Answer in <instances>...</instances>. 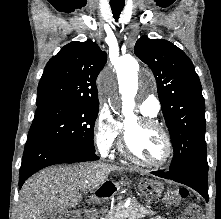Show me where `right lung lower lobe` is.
Instances as JSON below:
<instances>
[{
    "label": "right lung lower lobe",
    "instance_id": "98d812e1",
    "mask_svg": "<svg viewBox=\"0 0 221 219\" xmlns=\"http://www.w3.org/2000/svg\"><path fill=\"white\" fill-rule=\"evenodd\" d=\"M95 152H88L44 136L29 137L20 168L19 188L38 170L59 163L98 160Z\"/></svg>",
    "mask_w": 221,
    "mask_h": 219
}]
</instances>
